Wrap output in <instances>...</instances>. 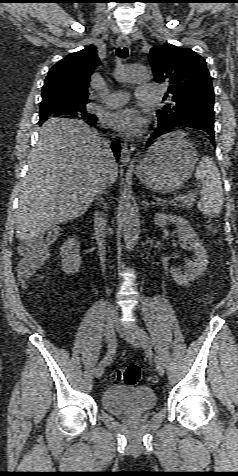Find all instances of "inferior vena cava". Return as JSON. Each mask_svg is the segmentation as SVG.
<instances>
[{
    "mask_svg": "<svg viewBox=\"0 0 238 476\" xmlns=\"http://www.w3.org/2000/svg\"><path fill=\"white\" fill-rule=\"evenodd\" d=\"M103 147L108 157V164H107V170H106L107 174L97 191L98 196H100L103 193V191L106 188V185L109 183L108 175L112 172L113 167L115 166V161L113 158V154L110 150L109 144L103 141ZM95 230H96L95 233H96V240L98 244L100 262H101L102 270L104 272L105 270L104 263H105V254H106L105 253L106 252L105 251L106 219L99 212H96L95 214ZM108 291L109 290H107V292Z\"/></svg>",
    "mask_w": 238,
    "mask_h": 476,
    "instance_id": "602c4592",
    "label": "inferior vena cava"
}]
</instances>
